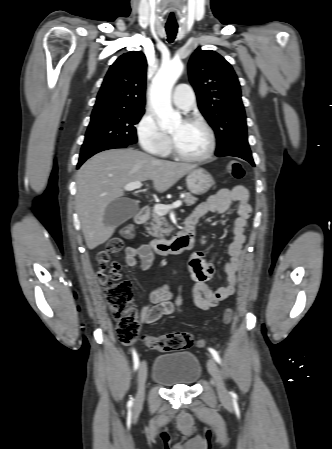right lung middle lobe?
<instances>
[{"mask_svg":"<svg viewBox=\"0 0 332 449\" xmlns=\"http://www.w3.org/2000/svg\"><path fill=\"white\" fill-rule=\"evenodd\" d=\"M143 114L144 110L92 114L81 152L106 144H135L137 135L134 125Z\"/></svg>","mask_w":332,"mask_h":449,"instance_id":"dd1d6c3e","label":"right lung middle lobe"}]
</instances>
